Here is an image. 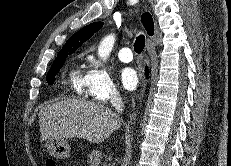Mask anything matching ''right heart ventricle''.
<instances>
[{
  "label": "right heart ventricle",
  "instance_id": "e07e8e85",
  "mask_svg": "<svg viewBox=\"0 0 231 166\" xmlns=\"http://www.w3.org/2000/svg\"><path fill=\"white\" fill-rule=\"evenodd\" d=\"M72 91L78 96H83L85 93V76L78 67H74L70 73L69 79Z\"/></svg>",
  "mask_w": 231,
  "mask_h": 166
}]
</instances>
